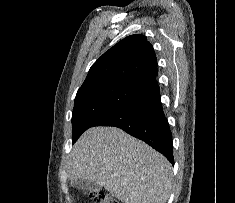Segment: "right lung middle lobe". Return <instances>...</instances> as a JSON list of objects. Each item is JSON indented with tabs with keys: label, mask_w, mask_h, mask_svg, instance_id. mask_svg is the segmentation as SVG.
Masks as SVG:
<instances>
[{
	"label": "right lung middle lobe",
	"mask_w": 235,
	"mask_h": 203,
	"mask_svg": "<svg viewBox=\"0 0 235 203\" xmlns=\"http://www.w3.org/2000/svg\"><path fill=\"white\" fill-rule=\"evenodd\" d=\"M148 89L129 82H108L78 90L72 115V144L98 120Z\"/></svg>",
	"instance_id": "obj_1"
}]
</instances>
